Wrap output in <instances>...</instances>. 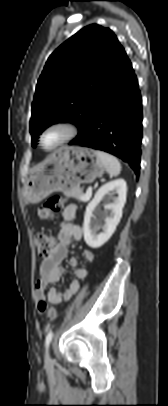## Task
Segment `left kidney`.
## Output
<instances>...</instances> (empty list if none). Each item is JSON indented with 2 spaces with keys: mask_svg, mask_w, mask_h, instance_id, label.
I'll list each match as a JSON object with an SVG mask.
<instances>
[{
  "mask_svg": "<svg viewBox=\"0 0 168 406\" xmlns=\"http://www.w3.org/2000/svg\"><path fill=\"white\" fill-rule=\"evenodd\" d=\"M116 193L118 196L114 197ZM127 185L124 179L110 181L99 188L92 201L87 205L83 234L86 244L91 248H99L104 245L116 230L117 225L122 217V210L126 202ZM108 196L112 203H107L104 207L105 212H99L100 219L93 214L98 204ZM104 220V224H102ZM102 228L103 232L97 234Z\"/></svg>",
  "mask_w": 168,
  "mask_h": 406,
  "instance_id": "5707ae66",
  "label": "left kidney"
}]
</instances>
